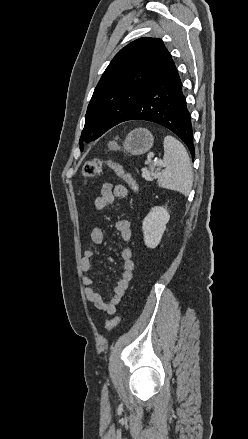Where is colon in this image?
I'll use <instances>...</instances> for the list:
<instances>
[{
    "label": "colon",
    "mask_w": 248,
    "mask_h": 439,
    "mask_svg": "<svg viewBox=\"0 0 248 439\" xmlns=\"http://www.w3.org/2000/svg\"><path fill=\"white\" fill-rule=\"evenodd\" d=\"M104 165L107 166L117 177L121 178L132 189V191L136 192L138 190V184L133 176L125 172L121 165L110 160L93 159L85 162L82 167V175L84 179L89 180L100 175ZM120 320V315L108 319L103 326V330H111L120 322Z\"/></svg>",
    "instance_id": "1"
}]
</instances>
